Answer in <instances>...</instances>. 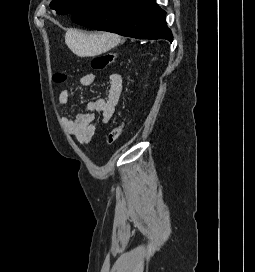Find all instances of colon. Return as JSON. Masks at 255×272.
I'll return each mask as SVG.
<instances>
[{"instance_id":"5ec220e1","label":"colon","mask_w":255,"mask_h":272,"mask_svg":"<svg viewBox=\"0 0 255 272\" xmlns=\"http://www.w3.org/2000/svg\"><path fill=\"white\" fill-rule=\"evenodd\" d=\"M116 59V53L109 52L101 55L95 56L91 61V68L95 71L105 70L111 63ZM68 76L63 73H56L53 79L57 83H63L67 80ZM123 130V125L118 124L112 128V130L107 135V145L112 146L116 143L120 137Z\"/></svg>"}]
</instances>
